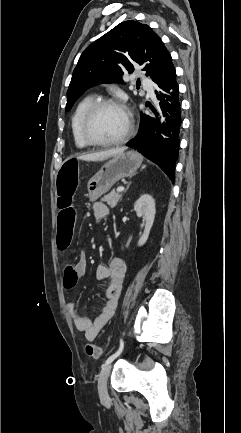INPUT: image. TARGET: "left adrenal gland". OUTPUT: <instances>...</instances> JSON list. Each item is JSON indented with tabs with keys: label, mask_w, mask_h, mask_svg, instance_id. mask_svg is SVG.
Here are the masks:
<instances>
[{
	"label": "left adrenal gland",
	"mask_w": 241,
	"mask_h": 433,
	"mask_svg": "<svg viewBox=\"0 0 241 433\" xmlns=\"http://www.w3.org/2000/svg\"><path fill=\"white\" fill-rule=\"evenodd\" d=\"M130 184H131V183H129V185H128L127 189L129 188Z\"/></svg>",
	"instance_id": "obj_1"
}]
</instances>
